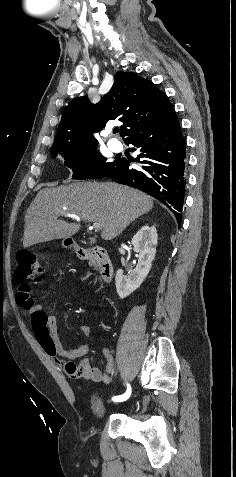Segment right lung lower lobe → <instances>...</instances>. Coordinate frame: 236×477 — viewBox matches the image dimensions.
<instances>
[{"label": "right lung lower lobe", "mask_w": 236, "mask_h": 477, "mask_svg": "<svg viewBox=\"0 0 236 477\" xmlns=\"http://www.w3.org/2000/svg\"><path fill=\"white\" fill-rule=\"evenodd\" d=\"M125 143L140 151L135 160L141 163L140 168L133 169L129 160L120 159L106 176L160 200L180 225L186 184V142L175 111L161 124L133 134Z\"/></svg>", "instance_id": "1"}]
</instances>
